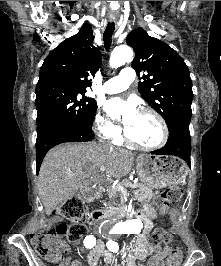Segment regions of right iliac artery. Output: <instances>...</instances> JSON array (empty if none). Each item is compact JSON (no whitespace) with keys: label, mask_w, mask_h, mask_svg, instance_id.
<instances>
[{"label":"right iliac artery","mask_w":221,"mask_h":266,"mask_svg":"<svg viewBox=\"0 0 221 266\" xmlns=\"http://www.w3.org/2000/svg\"><path fill=\"white\" fill-rule=\"evenodd\" d=\"M83 243L86 248H93L96 245V238L93 235L86 236Z\"/></svg>","instance_id":"82829eb1"}]
</instances>
